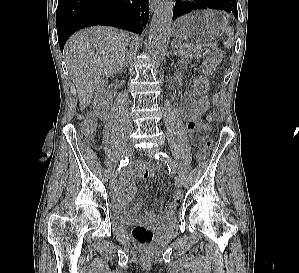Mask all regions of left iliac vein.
Here are the masks:
<instances>
[{"instance_id":"1","label":"left iliac vein","mask_w":299,"mask_h":273,"mask_svg":"<svg viewBox=\"0 0 299 273\" xmlns=\"http://www.w3.org/2000/svg\"><path fill=\"white\" fill-rule=\"evenodd\" d=\"M159 150L154 148V149H149L145 151V154L148 156H153L154 154L158 153ZM175 184L180 187L182 185V179L179 176H175Z\"/></svg>"}]
</instances>
